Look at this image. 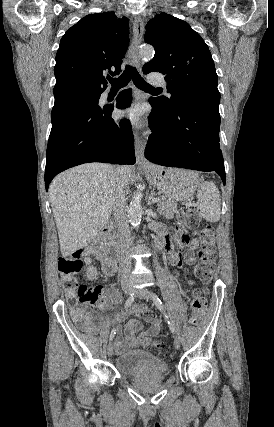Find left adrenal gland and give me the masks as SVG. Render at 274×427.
Segmentation results:
<instances>
[{
  "mask_svg": "<svg viewBox=\"0 0 274 427\" xmlns=\"http://www.w3.org/2000/svg\"><path fill=\"white\" fill-rule=\"evenodd\" d=\"M153 194H154V190H151V196H149V200H148V206H150V208H151L152 200L154 198Z\"/></svg>",
  "mask_w": 274,
  "mask_h": 427,
  "instance_id": "left-adrenal-gland-1",
  "label": "left adrenal gland"
}]
</instances>
